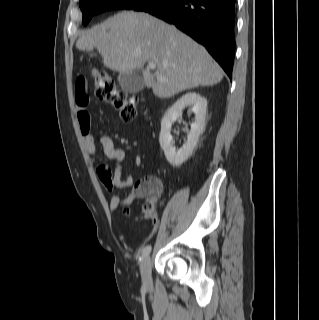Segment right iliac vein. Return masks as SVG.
Masks as SVG:
<instances>
[{
    "mask_svg": "<svg viewBox=\"0 0 319 320\" xmlns=\"http://www.w3.org/2000/svg\"><path fill=\"white\" fill-rule=\"evenodd\" d=\"M140 273L143 285L146 287H150L152 285L150 256H146L141 262Z\"/></svg>",
    "mask_w": 319,
    "mask_h": 320,
    "instance_id": "63e3f726",
    "label": "right iliac vein"
}]
</instances>
